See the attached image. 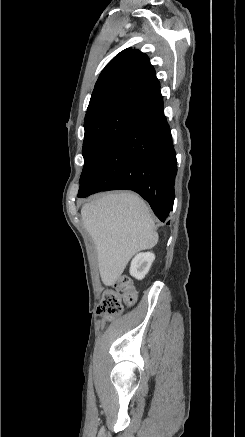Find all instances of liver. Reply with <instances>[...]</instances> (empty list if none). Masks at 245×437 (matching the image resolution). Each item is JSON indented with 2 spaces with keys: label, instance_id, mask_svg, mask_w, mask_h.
I'll use <instances>...</instances> for the list:
<instances>
[{
  "label": "liver",
  "instance_id": "6515ba94",
  "mask_svg": "<svg viewBox=\"0 0 245 437\" xmlns=\"http://www.w3.org/2000/svg\"><path fill=\"white\" fill-rule=\"evenodd\" d=\"M84 227L97 249L102 282L112 286L130 259L158 242L149 207L136 194H105L81 209Z\"/></svg>",
  "mask_w": 245,
  "mask_h": 437
}]
</instances>
